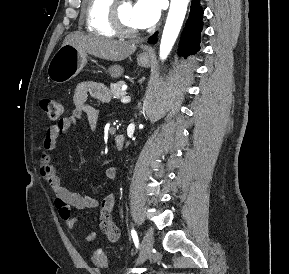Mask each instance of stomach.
<instances>
[{"label": "stomach", "instance_id": "1", "mask_svg": "<svg viewBox=\"0 0 289 274\" xmlns=\"http://www.w3.org/2000/svg\"><path fill=\"white\" fill-rule=\"evenodd\" d=\"M151 58L141 54L137 58L140 66H149ZM87 54L70 44L62 45L53 55L47 68L48 78L62 84L74 78L86 65Z\"/></svg>", "mask_w": 289, "mask_h": 274}]
</instances>
